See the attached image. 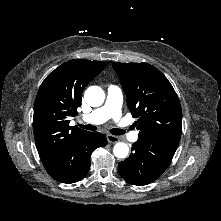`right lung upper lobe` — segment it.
Returning <instances> with one entry per match:
<instances>
[{"instance_id": "obj_1", "label": "right lung upper lobe", "mask_w": 221, "mask_h": 221, "mask_svg": "<svg viewBox=\"0 0 221 221\" xmlns=\"http://www.w3.org/2000/svg\"><path fill=\"white\" fill-rule=\"evenodd\" d=\"M105 65L102 61L73 59L56 68L41 84L34 104V135L42 162L88 132L69 126V118L81 106L83 89Z\"/></svg>"}]
</instances>
